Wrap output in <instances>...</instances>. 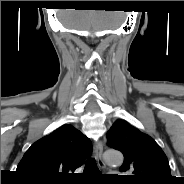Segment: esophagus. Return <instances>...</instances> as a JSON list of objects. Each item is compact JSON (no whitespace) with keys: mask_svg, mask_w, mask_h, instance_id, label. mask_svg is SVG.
I'll return each mask as SVG.
<instances>
[{"mask_svg":"<svg viewBox=\"0 0 184 184\" xmlns=\"http://www.w3.org/2000/svg\"><path fill=\"white\" fill-rule=\"evenodd\" d=\"M94 157L97 160V163L100 168H105V163L103 161L102 155H103V144L100 141L95 142L94 144V151H93Z\"/></svg>","mask_w":184,"mask_h":184,"instance_id":"obj_1","label":"esophagus"}]
</instances>
